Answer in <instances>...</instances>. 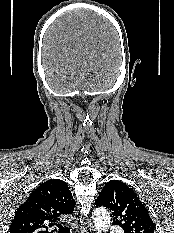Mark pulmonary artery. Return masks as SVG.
<instances>
[{
    "mask_svg": "<svg viewBox=\"0 0 174 233\" xmlns=\"http://www.w3.org/2000/svg\"><path fill=\"white\" fill-rule=\"evenodd\" d=\"M111 233H122L120 230L116 229L115 227H113L111 229Z\"/></svg>",
    "mask_w": 174,
    "mask_h": 233,
    "instance_id": "obj_1",
    "label": "pulmonary artery"
}]
</instances>
